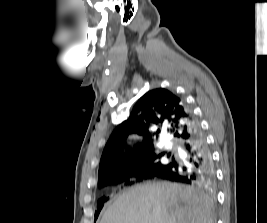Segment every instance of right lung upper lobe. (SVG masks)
Wrapping results in <instances>:
<instances>
[{
	"mask_svg": "<svg viewBox=\"0 0 267 223\" xmlns=\"http://www.w3.org/2000/svg\"><path fill=\"white\" fill-rule=\"evenodd\" d=\"M196 128L191 112L176 93L163 88L147 92L138 100L130 117L110 136L101 157L99 179L118 167L131 173L135 160L155 152L153 140L161 130L184 143L196 134ZM132 133L143 136V141L135 146L131 156L122 151V144Z\"/></svg>",
	"mask_w": 267,
	"mask_h": 223,
	"instance_id": "right-lung-upper-lobe-1",
	"label": "right lung upper lobe"
}]
</instances>
